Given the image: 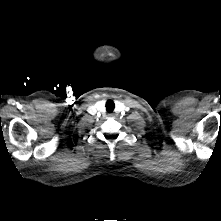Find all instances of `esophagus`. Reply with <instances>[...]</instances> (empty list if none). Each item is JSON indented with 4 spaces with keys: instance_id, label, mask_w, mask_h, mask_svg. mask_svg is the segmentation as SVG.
Here are the masks:
<instances>
[{
    "instance_id": "1",
    "label": "esophagus",
    "mask_w": 221,
    "mask_h": 221,
    "mask_svg": "<svg viewBox=\"0 0 221 221\" xmlns=\"http://www.w3.org/2000/svg\"><path fill=\"white\" fill-rule=\"evenodd\" d=\"M108 116H109V117H112V116H113V114H109Z\"/></svg>"
}]
</instances>
